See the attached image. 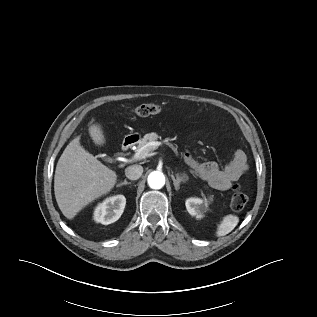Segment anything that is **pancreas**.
Returning <instances> with one entry per match:
<instances>
[{"instance_id":"1","label":"pancreas","mask_w":317,"mask_h":317,"mask_svg":"<svg viewBox=\"0 0 317 317\" xmlns=\"http://www.w3.org/2000/svg\"><path fill=\"white\" fill-rule=\"evenodd\" d=\"M158 138H159V136H158V134L155 133V132H151V133L146 134V135L142 138V140L139 141V144H138V147H137V148H138L137 151H138L140 148H142L143 146H145L147 143H149V142H155ZM151 151H153L152 148H147V150H146L147 153H149V152H151ZM212 200H213L212 197H210V201H212Z\"/></svg>"}]
</instances>
